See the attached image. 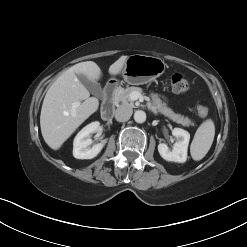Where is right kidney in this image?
Returning <instances> with one entry per match:
<instances>
[{"label":"right kidney","mask_w":247,"mask_h":247,"mask_svg":"<svg viewBox=\"0 0 247 247\" xmlns=\"http://www.w3.org/2000/svg\"><path fill=\"white\" fill-rule=\"evenodd\" d=\"M100 127L99 122H92L85 126L75 137L73 142V156L77 159H92L96 157L103 149L106 140L100 143L90 145L93 143L90 134L98 132Z\"/></svg>","instance_id":"ca27d5eb"}]
</instances>
